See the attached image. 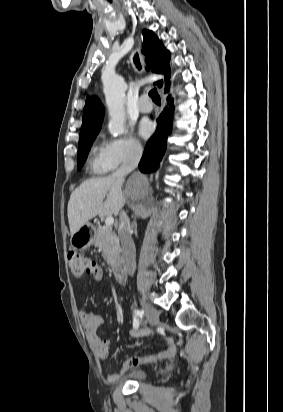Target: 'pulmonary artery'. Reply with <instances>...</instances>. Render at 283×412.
Returning <instances> with one entry per match:
<instances>
[{
    "label": "pulmonary artery",
    "mask_w": 283,
    "mask_h": 412,
    "mask_svg": "<svg viewBox=\"0 0 283 412\" xmlns=\"http://www.w3.org/2000/svg\"><path fill=\"white\" fill-rule=\"evenodd\" d=\"M138 109L142 113H148L152 110V105L148 101L147 96H142L139 100Z\"/></svg>",
    "instance_id": "1"
}]
</instances>
